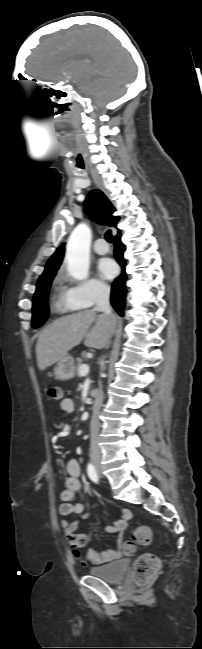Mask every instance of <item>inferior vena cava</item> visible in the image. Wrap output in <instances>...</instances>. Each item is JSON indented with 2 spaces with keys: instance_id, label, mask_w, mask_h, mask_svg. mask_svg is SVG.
Instances as JSON below:
<instances>
[{
  "instance_id": "obj_1",
  "label": "inferior vena cava",
  "mask_w": 202,
  "mask_h": 649,
  "mask_svg": "<svg viewBox=\"0 0 202 649\" xmlns=\"http://www.w3.org/2000/svg\"><path fill=\"white\" fill-rule=\"evenodd\" d=\"M109 297H110V288L107 285H100L97 287V292H96V306L95 310L103 312L104 314L111 315L112 314V308L109 303ZM103 399L102 392L100 391L95 398L94 402V417L92 421V426H91V445H90V455L95 456L100 454V448L98 445V430H99V423L97 419V412L101 406Z\"/></svg>"
}]
</instances>
